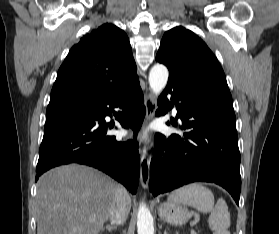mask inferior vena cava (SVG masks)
I'll list each match as a JSON object with an SVG mask.
<instances>
[{
    "instance_id": "602c4592",
    "label": "inferior vena cava",
    "mask_w": 279,
    "mask_h": 234,
    "mask_svg": "<svg viewBox=\"0 0 279 234\" xmlns=\"http://www.w3.org/2000/svg\"><path fill=\"white\" fill-rule=\"evenodd\" d=\"M131 199L125 188L118 186L115 192L114 203L110 214L111 223L123 224L130 210Z\"/></svg>"
}]
</instances>
